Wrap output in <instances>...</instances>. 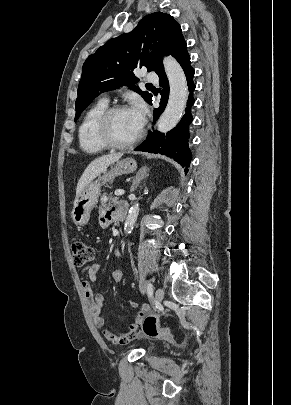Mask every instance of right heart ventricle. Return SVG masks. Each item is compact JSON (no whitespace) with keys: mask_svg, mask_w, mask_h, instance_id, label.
<instances>
[{"mask_svg":"<svg viewBox=\"0 0 291 405\" xmlns=\"http://www.w3.org/2000/svg\"><path fill=\"white\" fill-rule=\"evenodd\" d=\"M108 107L105 100L92 105L84 114L78 128V140L82 151L89 154L101 153L108 149L97 136V122L101 114Z\"/></svg>","mask_w":291,"mask_h":405,"instance_id":"1","label":"right heart ventricle"}]
</instances>
